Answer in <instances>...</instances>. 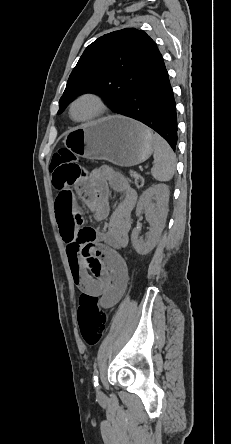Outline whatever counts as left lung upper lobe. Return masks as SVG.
I'll return each instance as SVG.
<instances>
[{"mask_svg":"<svg viewBox=\"0 0 231 444\" xmlns=\"http://www.w3.org/2000/svg\"><path fill=\"white\" fill-rule=\"evenodd\" d=\"M158 53L155 42L135 28L103 35L85 49L71 72L58 113L83 93L102 95L118 113L140 74Z\"/></svg>","mask_w":231,"mask_h":444,"instance_id":"obj_1","label":"left lung upper lobe"}]
</instances>
